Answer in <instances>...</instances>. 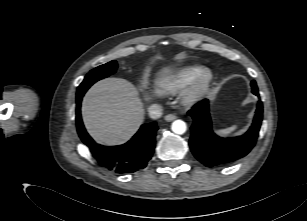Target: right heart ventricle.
Instances as JSON below:
<instances>
[{"label":"right heart ventricle","instance_id":"right-heart-ventricle-1","mask_svg":"<svg viewBox=\"0 0 307 221\" xmlns=\"http://www.w3.org/2000/svg\"><path fill=\"white\" fill-rule=\"evenodd\" d=\"M204 70L201 65H184L174 69L157 80L155 91L159 94H171L191 84Z\"/></svg>","mask_w":307,"mask_h":221}]
</instances>
